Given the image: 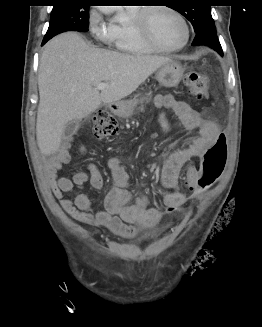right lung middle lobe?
<instances>
[{"label":"right lung middle lobe","mask_w":262,"mask_h":327,"mask_svg":"<svg viewBox=\"0 0 262 327\" xmlns=\"http://www.w3.org/2000/svg\"><path fill=\"white\" fill-rule=\"evenodd\" d=\"M57 2L58 4L53 6L43 44L65 31H88L89 6L79 5L78 0H58Z\"/></svg>","instance_id":"obj_1"}]
</instances>
